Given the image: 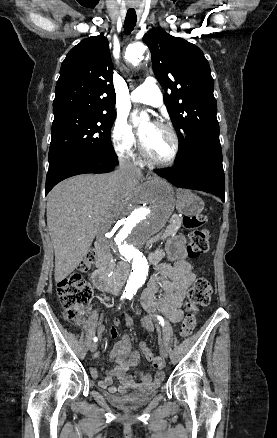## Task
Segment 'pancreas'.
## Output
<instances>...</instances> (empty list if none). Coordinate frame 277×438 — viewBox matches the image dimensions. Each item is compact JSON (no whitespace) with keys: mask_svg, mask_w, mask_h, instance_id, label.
Masks as SVG:
<instances>
[{"mask_svg":"<svg viewBox=\"0 0 277 438\" xmlns=\"http://www.w3.org/2000/svg\"><path fill=\"white\" fill-rule=\"evenodd\" d=\"M183 220L180 218V216H175V218H172L171 224H167L166 231L167 233H178L179 227H182Z\"/></svg>","mask_w":277,"mask_h":438,"instance_id":"obj_1","label":"pancreas"}]
</instances>
